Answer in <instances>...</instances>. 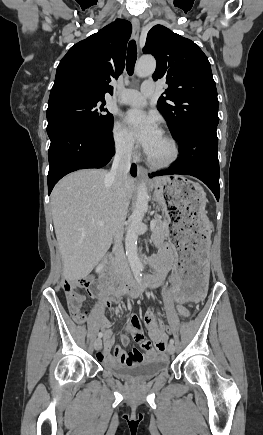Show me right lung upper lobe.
Returning <instances> with one entry per match:
<instances>
[{"label": "right lung upper lobe", "mask_w": 263, "mask_h": 435, "mask_svg": "<svg viewBox=\"0 0 263 435\" xmlns=\"http://www.w3.org/2000/svg\"><path fill=\"white\" fill-rule=\"evenodd\" d=\"M131 23L117 19L72 46L60 61L48 106L76 99H103L125 67Z\"/></svg>", "instance_id": "obj_1"}]
</instances>
